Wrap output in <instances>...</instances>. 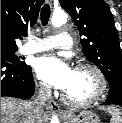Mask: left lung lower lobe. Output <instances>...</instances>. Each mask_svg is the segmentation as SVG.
Wrapping results in <instances>:
<instances>
[{"label": "left lung lower lobe", "mask_w": 122, "mask_h": 123, "mask_svg": "<svg viewBox=\"0 0 122 123\" xmlns=\"http://www.w3.org/2000/svg\"><path fill=\"white\" fill-rule=\"evenodd\" d=\"M102 104H115L122 107V82H117L115 85L110 86L108 97Z\"/></svg>", "instance_id": "left-lung-lower-lobe-1"}]
</instances>
